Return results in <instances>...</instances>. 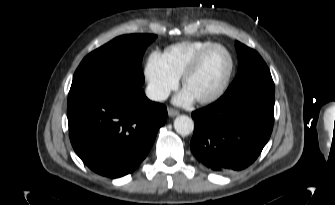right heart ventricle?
I'll list each match as a JSON object with an SVG mask.
<instances>
[{"label":"right heart ventricle","instance_id":"right-heart-ventricle-1","mask_svg":"<svg viewBox=\"0 0 335 205\" xmlns=\"http://www.w3.org/2000/svg\"><path fill=\"white\" fill-rule=\"evenodd\" d=\"M211 44V41H181L168 46L162 56L168 68L180 77L194 57Z\"/></svg>","mask_w":335,"mask_h":205}]
</instances>
